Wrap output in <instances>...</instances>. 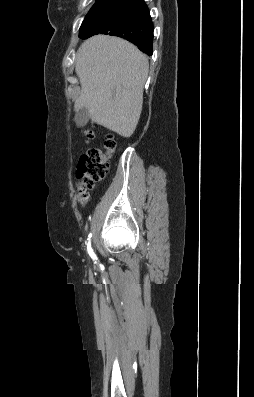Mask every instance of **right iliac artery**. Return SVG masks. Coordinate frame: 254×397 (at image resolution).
<instances>
[{
    "mask_svg": "<svg viewBox=\"0 0 254 397\" xmlns=\"http://www.w3.org/2000/svg\"><path fill=\"white\" fill-rule=\"evenodd\" d=\"M90 238H91V234L89 235V238H88L87 249H88V253H89V255H90L92 258H95V255H94L93 249H92V247H91Z\"/></svg>",
    "mask_w": 254,
    "mask_h": 397,
    "instance_id": "right-iliac-artery-1",
    "label": "right iliac artery"
}]
</instances>
